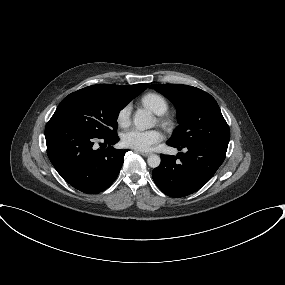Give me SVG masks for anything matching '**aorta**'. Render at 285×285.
<instances>
[{"mask_svg":"<svg viewBox=\"0 0 285 285\" xmlns=\"http://www.w3.org/2000/svg\"><path fill=\"white\" fill-rule=\"evenodd\" d=\"M134 125L139 130L150 129L155 126V120L152 114L143 109L136 111L133 119ZM161 159L158 155H150L147 159V163L151 168H156L160 165Z\"/></svg>","mask_w":285,"mask_h":285,"instance_id":"1","label":"aorta"}]
</instances>
